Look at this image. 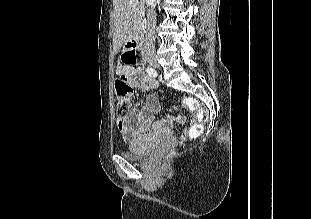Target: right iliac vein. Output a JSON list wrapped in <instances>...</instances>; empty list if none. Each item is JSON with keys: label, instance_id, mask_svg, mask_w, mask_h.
I'll list each match as a JSON object with an SVG mask.
<instances>
[{"label": "right iliac vein", "instance_id": "63e3f726", "mask_svg": "<svg viewBox=\"0 0 311 219\" xmlns=\"http://www.w3.org/2000/svg\"><path fill=\"white\" fill-rule=\"evenodd\" d=\"M147 61L150 65H152L153 67L157 68L159 67V64L157 62V58L154 55H150L147 57Z\"/></svg>", "mask_w": 311, "mask_h": 219}]
</instances>
